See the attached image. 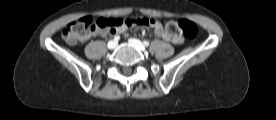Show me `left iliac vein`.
<instances>
[{
    "label": "left iliac vein",
    "mask_w": 276,
    "mask_h": 120,
    "mask_svg": "<svg viewBox=\"0 0 276 120\" xmlns=\"http://www.w3.org/2000/svg\"><path fill=\"white\" fill-rule=\"evenodd\" d=\"M129 43L135 46L140 51H145V46L138 39H135V38L129 39Z\"/></svg>",
    "instance_id": "4c4485c4"
}]
</instances>
